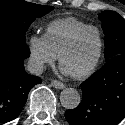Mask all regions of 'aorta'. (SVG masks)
<instances>
[{"instance_id":"aorta-1","label":"aorta","mask_w":125,"mask_h":125,"mask_svg":"<svg viewBox=\"0 0 125 125\" xmlns=\"http://www.w3.org/2000/svg\"><path fill=\"white\" fill-rule=\"evenodd\" d=\"M60 101L66 109H75L79 105L81 98L76 89L66 88L61 92Z\"/></svg>"}]
</instances>
